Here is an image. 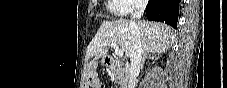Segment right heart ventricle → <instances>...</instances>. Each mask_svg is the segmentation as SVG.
<instances>
[{
	"instance_id": "1",
	"label": "right heart ventricle",
	"mask_w": 227,
	"mask_h": 88,
	"mask_svg": "<svg viewBox=\"0 0 227 88\" xmlns=\"http://www.w3.org/2000/svg\"><path fill=\"white\" fill-rule=\"evenodd\" d=\"M108 9L116 16L125 14V4L123 0H108Z\"/></svg>"
}]
</instances>
